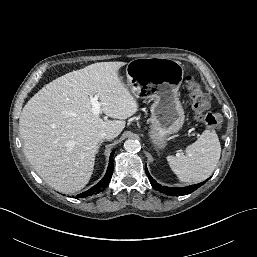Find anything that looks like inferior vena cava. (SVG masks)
Instances as JSON below:
<instances>
[{"label":"inferior vena cava","instance_id":"inferior-vena-cava-1","mask_svg":"<svg viewBox=\"0 0 257 257\" xmlns=\"http://www.w3.org/2000/svg\"><path fill=\"white\" fill-rule=\"evenodd\" d=\"M115 137H116V134L114 132H109V131H102L98 134L99 141L112 140Z\"/></svg>","mask_w":257,"mask_h":257}]
</instances>
